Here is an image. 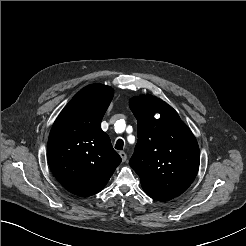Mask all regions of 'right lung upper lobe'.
Listing matches in <instances>:
<instances>
[{
  "instance_id": "cb5924a9",
  "label": "right lung upper lobe",
  "mask_w": 246,
  "mask_h": 246,
  "mask_svg": "<svg viewBox=\"0 0 246 246\" xmlns=\"http://www.w3.org/2000/svg\"><path fill=\"white\" fill-rule=\"evenodd\" d=\"M113 93L102 84L86 86L74 95L51 129L47 145L50 168L75 195L100 192L121 162L100 125Z\"/></svg>"
}]
</instances>
